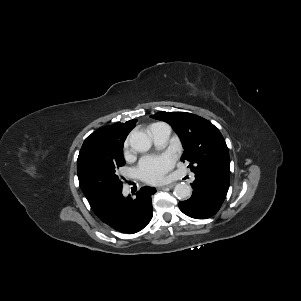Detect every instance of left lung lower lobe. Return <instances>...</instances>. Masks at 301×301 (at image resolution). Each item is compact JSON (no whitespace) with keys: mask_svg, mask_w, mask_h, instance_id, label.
Returning <instances> with one entry per match:
<instances>
[{"mask_svg":"<svg viewBox=\"0 0 301 301\" xmlns=\"http://www.w3.org/2000/svg\"><path fill=\"white\" fill-rule=\"evenodd\" d=\"M190 199L179 202L180 210L196 219L210 218L217 213L229 188V181L207 174H195Z\"/></svg>","mask_w":301,"mask_h":301,"instance_id":"1","label":"left lung lower lobe"}]
</instances>
